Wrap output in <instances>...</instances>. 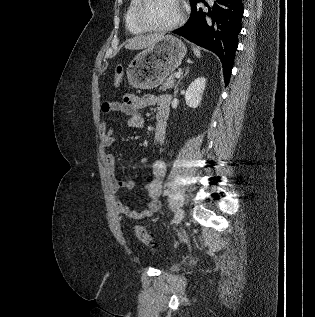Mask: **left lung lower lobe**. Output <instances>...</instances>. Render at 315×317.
<instances>
[{
  "mask_svg": "<svg viewBox=\"0 0 315 317\" xmlns=\"http://www.w3.org/2000/svg\"><path fill=\"white\" fill-rule=\"evenodd\" d=\"M191 2V15L186 24L173 33L214 52L221 60L225 85L228 84L238 47V34L244 12L242 0H216L208 10Z\"/></svg>",
  "mask_w": 315,
  "mask_h": 317,
  "instance_id": "0a47b994",
  "label": "left lung lower lobe"
}]
</instances>
